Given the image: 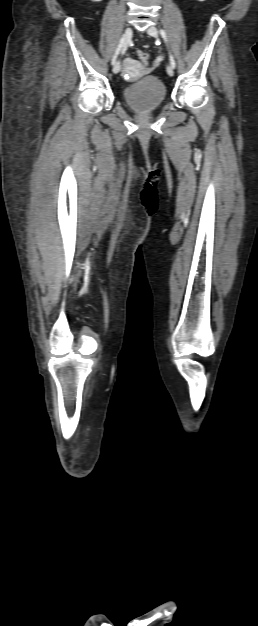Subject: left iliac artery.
<instances>
[{
    "instance_id": "44dca946",
    "label": "left iliac artery",
    "mask_w": 258,
    "mask_h": 626,
    "mask_svg": "<svg viewBox=\"0 0 258 626\" xmlns=\"http://www.w3.org/2000/svg\"><path fill=\"white\" fill-rule=\"evenodd\" d=\"M160 34H161L162 38L164 39V41L167 43V35H166L165 30L160 29ZM169 58H170L171 66L173 68H175L176 67V62H175V59H174L173 55L170 52H169Z\"/></svg>"
}]
</instances>
